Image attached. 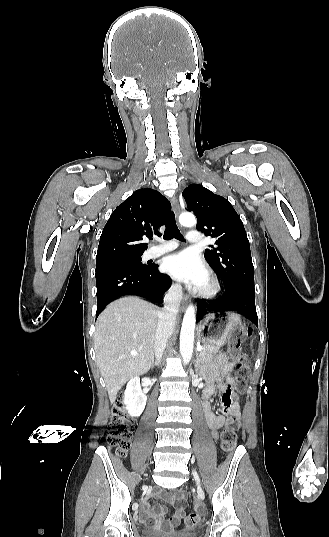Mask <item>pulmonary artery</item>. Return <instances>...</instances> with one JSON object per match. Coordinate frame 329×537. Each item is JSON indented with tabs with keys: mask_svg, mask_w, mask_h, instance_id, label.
Here are the masks:
<instances>
[{
	"mask_svg": "<svg viewBox=\"0 0 329 537\" xmlns=\"http://www.w3.org/2000/svg\"><path fill=\"white\" fill-rule=\"evenodd\" d=\"M187 241L192 245H198L202 241L201 234L198 231H194V230L189 231L187 233ZM176 247H177V243L175 241H168L162 245L152 248L149 252V256L157 257L166 252L174 250Z\"/></svg>",
	"mask_w": 329,
	"mask_h": 537,
	"instance_id": "e3ab8cb5",
	"label": "pulmonary artery"
}]
</instances>
